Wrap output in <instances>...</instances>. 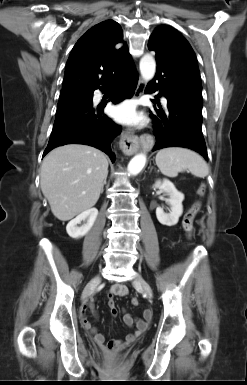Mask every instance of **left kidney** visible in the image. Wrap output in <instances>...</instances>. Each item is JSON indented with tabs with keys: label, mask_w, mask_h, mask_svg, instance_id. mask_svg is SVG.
<instances>
[{
	"label": "left kidney",
	"mask_w": 247,
	"mask_h": 385,
	"mask_svg": "<svg viewBox=\"0 0 247 385\" xmlns=\"http://www.w3.org/2000/svg\"><path fill=\"white\" fill-rule=\"evenodd\" d=\"M153 188H158L169 196L166 201L170 205V212L165 213L161 207H157L156 216L158 221L166 226L176 225L179 217L183 213L182 202L184 200V194L179 192L174 184L167 179L156 181Z\"/></svg>",
	"instance_id": "obj_1"
}]
</instances>
